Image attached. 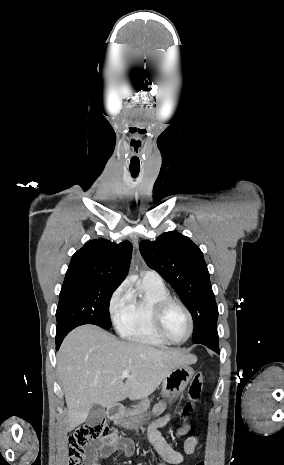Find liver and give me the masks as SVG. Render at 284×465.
<instances>
[{
    "instance_id": "1",
    "label": "liver",
    "mask_w": 284,
    "mask_h": 465,
    "mask_svg": "<svg viewBox=\"0 0 284 465\" xmlns=\"http://www.w3.org/2000/svg\"><path fill=\"white\" fill-rule=\"evenodd\" d=\"M196 361L195 355H183L179 349L118 341L95 325L77 327L57 353V371L68 409L64 419L67 431L82 425L93 405L115 407L124 399H144L158 389L172 369ZM125 369L129 377H121Z\"/></svg>"
}]
</instances>
